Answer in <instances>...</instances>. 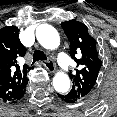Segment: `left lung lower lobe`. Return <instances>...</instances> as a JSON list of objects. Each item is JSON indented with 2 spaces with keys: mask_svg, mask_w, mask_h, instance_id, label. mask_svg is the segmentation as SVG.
<instances>
[{
  "mask_svg": "<svg viewBox=\"0 0 117 117\" xmlns=\"http://www.w3.org/2000/svg\"><path fill=\"white\" fill-rule=\"evenodd\" d=\"M59 96V98L65 102L68 103H74L76 102L74 98H72V96H70L69 94H57Z\"/></svg>",
  "mask_w": 117,
  "mask_h": 117,
  "instance_id": "obj_1",
  "label": "left lung lower lobe"
}]
</instances>
